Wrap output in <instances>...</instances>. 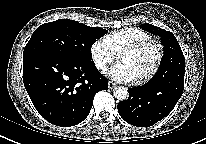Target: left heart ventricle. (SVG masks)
<instances>
[{"instance_id": "left-heart-ventricle-1", "label": "left heart ventricle", "mask_w": 206, "mask_h": 144, "mask_svg": "<svg viewBox=\"0 0 206 144\" xmlns=\"http://www.w3.org/2000/svg\"><path fill=\"white\" fill-rule=\"evenodd\" d=\"M155 57V49L148 47L137 53L122 54L118 59L128 66L136 80L149 72L154 64Z\"/></svg>"}]
</instances>
